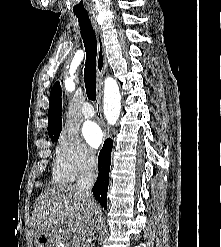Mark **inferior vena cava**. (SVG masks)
Instances as JSON below:
<instances>
[{
  "mask_svg": "<svg viewBox=\"0 0 221 247\" xmlns=\"http://www.w3.org/2000/svg\"><path fill=\"white\" fill-rule=\"evenodd\" d=\"M96 156L92 153L86 155L83 168L75 185L76 192L86 209V230L76 237L74 247H90L91 236L94 234L97 213L94 210L95 201L92 198V187L97 178Z\"/></svg>",
  "mask_w": 221,
  "mask_h": 247,
  "instance_id": "inferior-vena-cava-1",
  "label": "inferior vena cava"
}]
</instances>
